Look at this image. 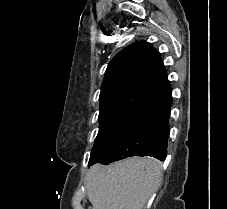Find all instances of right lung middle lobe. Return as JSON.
Instances as JSON below:
<instances>
[{
    "instance_id": "obj_1",
    "label": "right lung middle lobe",
    "mask_w": 227,
    "mask_h": 209,
    "mask_svg": "<svg viewBox=\"0 0 227 209\" xmlns=\"http://www.w3.org/2000/svg\"><path fill=\"white\" fill-rule=\"evenodd\" d=\"M152 107L129 98L108 103L99 114V132L88 165L101 163L116 148L134 135L146 122Z\"/></svg>"
}]
</instances>
